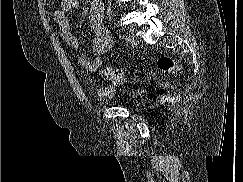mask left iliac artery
I'll use <instances>...</instances> for the list:
<instances>
[{
    "mask_svg": "<svg viewBox=\"0 0 243 182\" xmlns=\"http://www.w3.org/2000/svg\"><path fill=\"white\" fill-rule=\"evenodd\" d=\"M126 37H127V36H125V35H120V38H121V39H126Z\"/></svg>",
    "mask_w": 243,
    "mask_h": 182,
    "instance_id": "obj_1",
    "label": "left iliac artery"
}]
</instances>
